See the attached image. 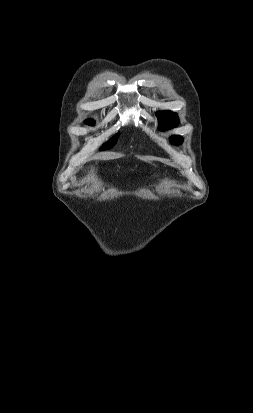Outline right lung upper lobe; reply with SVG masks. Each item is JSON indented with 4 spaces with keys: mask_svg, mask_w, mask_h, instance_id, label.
<instances>
[{
    "mask_svg": "<svg viewBox=\"0 0 253 413\" xmlns=\"http://www.w3.org/2000/svg\"><path fill=\"white\" fill-rule=\"evenodd\" d=\"M86 123L89 124V125H92L93 121L92 120H87Z\"/></svg>",
    "mask_w": 253,
    "mask_h": 413,
    "instance_id": "obj_1",
    "label": "right lung upper lobe"
}]
</instances>
